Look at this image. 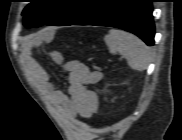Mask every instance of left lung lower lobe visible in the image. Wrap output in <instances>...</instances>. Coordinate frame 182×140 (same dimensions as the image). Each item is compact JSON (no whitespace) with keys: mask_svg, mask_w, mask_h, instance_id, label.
Instances as JSON below:
<instances>
[{"mask_svg":"<svg viewBox=\"0 0 182 140\" xmlns=\"http://www.w3.org/2000/svg\"><path fill=\"white\" fill-rule=\"evenodd\" d=\"M153 0H102L70 25H96L124 29L154 45Z\"/></svg>","mask_w":182,"mask_h":140,"instance_id":"1","label":"left lung lower lobe"}]
</instances>
